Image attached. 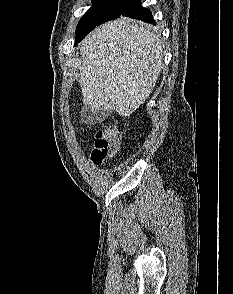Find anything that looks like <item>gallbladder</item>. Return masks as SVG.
Returning <instances> with one entry per match:
<instances>
[{
	"label": "gallbladder",
	"mask_w": 233,
	"mask_h": 294,
	"mask_svg": "<svg viewBox=\"0 0 233 294\" xmlns=\"http://www.w3.org/2000/svg\"><path fill=\"white\" fill-rule=\"evenodd\" d=\"M82 117H83V119L84 120H89V121H94V119L93 118H91V119H88L87 118V115L89 114V110H88V108H84L83 110H82Z\"/></svg>",
	"instance_id": "gallbladder-1"
}]
</instances>
